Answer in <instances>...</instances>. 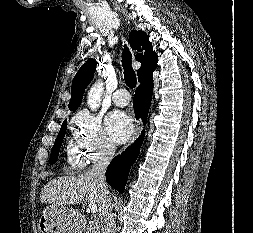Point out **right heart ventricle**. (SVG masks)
<instances>
[{
    "mask_svg": "<svg viewBox=\"0 0 253 233\" xmlns=\"http://www.w3.org/2000/svg\"><path fill=\"white\" fill-rule=\"evenodd\" d=\"M67 163L75 170L82 169L86 165V158L78 142L70 140L66 146Z\"/></svg>",
    "mask_w": 253,
    "mask_h": 233,
    "instance_id": "e07e8e85",
    "label": "right heart ventricle"
}]
</instances>
